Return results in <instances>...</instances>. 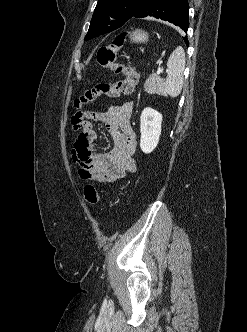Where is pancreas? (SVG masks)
I'll list each match as a JSON object with an SVG mask.
<instances>
[{"label":"pancreas","instance_id":"cf45deb5","mask_svg":"<svg viewBox=\"0 0 247 332\" xmlns=\"http://www.w3.org/2000/svg\"><path fill=\"white\" fill-rule=\"evenodd\" d=\"M161 83V79L156 74H151L144 84V90L147 94H155Z\"/></svg>","mask_w":247,"mask_h":332}]
</instances>
